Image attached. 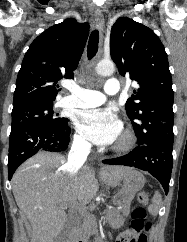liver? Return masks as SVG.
Segmentation results:
<instances>
[{
  "label": "liver",
  "instance_id": "liver-1",
  "mask_svg": "<svg viewBox=\"0 0 187 242\" xmlns=\"http://www.w3.org/2000/svg\"><path fill=\"white\" fill-rule=\"evenodd\" d=\"M64 156L39 152L25 161L12 178V190L20 211L32 227L31 242H54L68 221L62 205L85 206L96 195L99 185L95 173L83 167L68 172ZM128 167L104 166L100 179L116 187Z\"/></svg>",
  "mask_w": 187,
  "mask_h": 242
}]
</instances>
